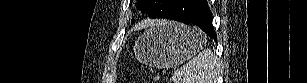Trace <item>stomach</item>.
<instances>
[{
	"instance_id": "stomach-1",
	"label": "stomach",
	"mask_w": 307,
	"mask_h": 83,
	"mask_svg": "<svg viewBox=\"0 0 307 83\" xmlns=\"http://www.w3.org/2000/svg\"><path fill=\"white\" fill-rule=\"evenodd\" d=\"M206 42V35L193 26L165 22L152 27L138 38L134 54L144 64L168 68L193 57Z\"/></svg>"
}]
</instances>
